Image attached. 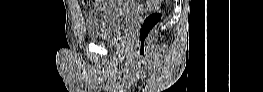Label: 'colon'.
I'll use <instances>...</instances> for the list:
<instances>
[{
  "label": "colon",
  "instance_id": "5ec220e1",
  "mask_svg": "<svg viewBox=\"0 0 263 92\" xmlns=\"http://www.w3.org/2000/svg\"><path fill=\"white\" fill-rule=\"evenodd\" d=\"M97 2V1H96ZM162 15L159 11L150 12L143 20L140 29H139V50L144 52L146 50V44L149 38V35L153 29L161 21Z\"/></svg>",
  "mask_w": 263,
  "mask_h": 92
}]
</instances>
